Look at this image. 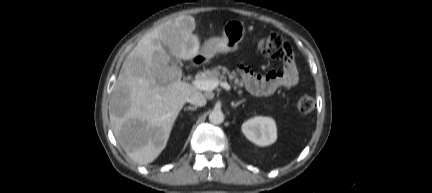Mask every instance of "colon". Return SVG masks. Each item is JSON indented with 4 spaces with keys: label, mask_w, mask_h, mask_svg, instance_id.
<instances>
[{
    "label": "colon",
    "mask_w": 432,
    "mask_h": 193,
    "mask_svg": "<svg viewBox=\"0 0 432 193\" xmlns=\"http://www.w3.org/2000/svg\"><path fill=\"white\" fill-rule=\"evenodd\" d=\"M258 51L271 59H290L292 58V51L290 45L283 40L280 35L272 34L257 41ZM315 100L311 95H302L297 103L296 108L298 112L307 114L314 110Z\"/></svg>",
    "instance_id": "5ec220e1"
}]
</instances>
